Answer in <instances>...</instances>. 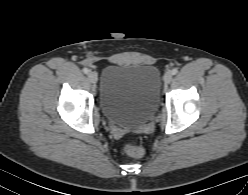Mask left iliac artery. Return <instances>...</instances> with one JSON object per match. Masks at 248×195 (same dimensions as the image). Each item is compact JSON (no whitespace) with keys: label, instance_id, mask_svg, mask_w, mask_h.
<instances>
[{"label":"left iliac artery","instance_id":"44dca946","mask_svg":"<svg viewBox=\"0 0 248 195\" xmlns=\"http://www.w3.org/2000/svg\"><path fill=\"white\" fill-rule=\"evenodd\" d=\"M171 73H172L173 75H176V74L178 73V70H177L176 68H174V69L171 71Z\"/></svg>","mask_w":248,"mask_h":195}]
</instances>
